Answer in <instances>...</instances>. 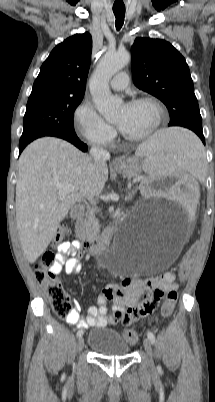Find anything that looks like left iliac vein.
<instances>
[{
  "label": "left iliac vein",
  "mask_w": 215,
  "mask_h": 402,
  "mask_svg": "<svg viewBox=\"0 0 215 402\" xmlns=\"http://www.w3.org/2000/svg\"><path fill=\"white\" fill-rule=\"evenodd\" d=\"M143 345H144L145 351L147 352V354L150 358L151 366L154 367L152 345H151L150 340L145 338L143 341Z\"/></svg>",
  "instance_id": "obj_1"
}]
</instances>
